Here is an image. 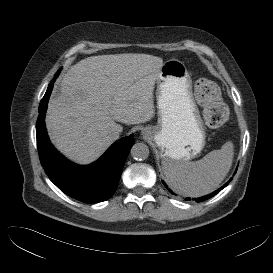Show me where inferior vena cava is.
Returning a JSON list of instances; mask_svg holds the SVG:
<instances>
[{
    "label": "inferior vena cava",
    "instance_id": "602c4592",
    "mask_svg": "<svg viewBox=\"0 0 273 273\" xmlns=\"http://www.w3.org/2000/svg\"><path fill=\"white\" fill-rule=\"evenodd\" d=\"M111 139L112 140H116V139H118V137H119V133L118 132H113V133H111Z\"/></svg>",
    "mask_w": 273,
    "mask_h": 273
}]
</instances>
